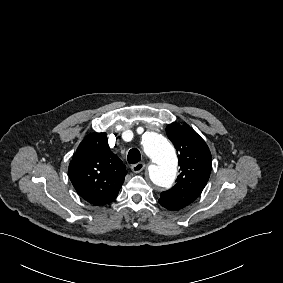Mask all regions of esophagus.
Returning <instances> with one entry per match:
<instances>
[{
    "mask_svg": "<svg viewBox=\"0 0 283 283\" xmlns=\"http://www.w3.org/2000/svg\"><path fill=\"white\" fill-rule=\"evenodd\" d=\"M146 167V164L145 163H136L134 165L131 166V170L134 172V173H139L141 172L144 168Z\"/></svg>",
    "mask_w": 283,
    "mask_h": 283,
    "instance_id": "esophagus-1",
    "label": "esophagus"
}]
</instances>
